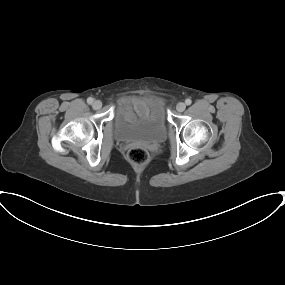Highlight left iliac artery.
Instances as JSON below:
<instances>
[{"instance_id":"44dca946","label":"left iliac artery","mask_w":285,"mask_h":285,"mask_svg":"<svg viewBox=\"0 0 285 285\" xmlns=\"http://www.w3.org/2000/svg\"><path fill=\"white\" fill-rule=\"evenodd\" d=\"M185 103H186V105H190L192 103V101L190 99H186Z\"/></svg>"}]
</instances>
